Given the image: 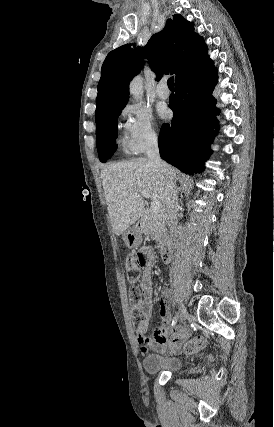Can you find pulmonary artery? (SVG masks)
<instances>
[{
    "label": "pulmonary artery",
    "instance_id": "e3ab8cb5",
    "mask_svg": "<svg viewBox=\"0 0 274 427\" xmlns=\"http://www.w3.org/2000/svg\"><path fill=\"white\" fill-rule=\"evenodd\" d=\"M159 98L166 100L170 96V90L165 82H161L156 89Z\"/></svg>",
    "mask_w": 274,
    "mask_h": 427
}]
</instances>
